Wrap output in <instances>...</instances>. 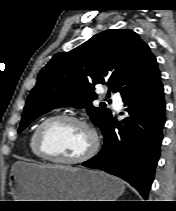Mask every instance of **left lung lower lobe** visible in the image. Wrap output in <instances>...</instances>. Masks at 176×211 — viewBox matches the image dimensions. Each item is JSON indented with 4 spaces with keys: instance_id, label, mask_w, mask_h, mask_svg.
Wrapping results in <instances>:
<instances>
[{
    "instance_id": "1",
    "label": "left lung lower lobe",
    "mask_w": 176,
    "mask_h": 211,
    "mask_svg": "<svg viewBox=\"0 0 176 211\" xmlns=\"http://www.w3.org/2000/svg\"><path fill=\"white\" fill-rule=\"evenodd\" d=\"M160 76L123 97L130 117L121 122L112 119L103 133L102 150L83 163L126 180L145 199L154 179L165 123L166 104ZM116 127L119 133H115Z\"/></svg>"
}]
</instances>
